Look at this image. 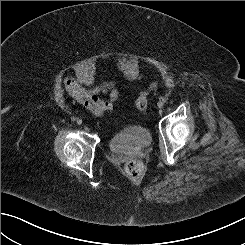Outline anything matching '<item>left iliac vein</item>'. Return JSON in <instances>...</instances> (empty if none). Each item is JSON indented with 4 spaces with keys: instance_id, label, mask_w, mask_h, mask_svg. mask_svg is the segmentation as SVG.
<instances>
[{
    "instance_id": "left-iliac-vein-1",
    "label": "left iliac vein",
    "mask_w": 245,
    "mask_h": 245,
    "mask_svg": "<svg viewBox=\"0 0 245 245\" xmlns=\"http://www.w3.org/2000/svg\"><path fill=\"white\" fill-rule=\"evenodd\" d=\"M163 105H164V103H163L162 101H159V102L157 103V106H158L159 108H162Z\"/></svg>"
}]
</instances>
